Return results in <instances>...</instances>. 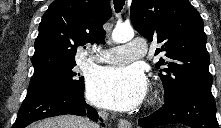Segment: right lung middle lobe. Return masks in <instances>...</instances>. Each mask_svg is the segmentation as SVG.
<instances>
[{
    "label": "right lung middle lobe",
    "mask_w": 221,
    "mask_h": 128,
    "mask_svg": "<svg viewBox=\"0 0 221 128\" xmlns=\"http://www.w3.org/2000/svg\"><path fill=\"white\" fill-rule=\"evenodd\" d=\"M75 64L33 75L27 94L52 86H63L84 92V78L74 70Z\"/></svg>",
    "instance_id": "1"
}]
</instances>
